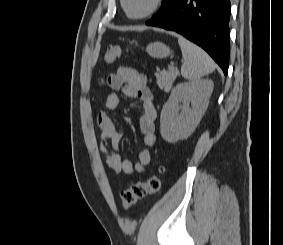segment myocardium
Here are the masks:
<instances>
[{"mask_svg": "<svg viewBox=\"0 0 283 245\" xmlns=\"http://www.w3.org/2000/svg\"><path fill=\"white\" fill-rule=\"evenodd\" d=\"M121 7L127 18L131 20H143L155 14L163 5L164 0H154L153 5L144 13L140 15H131L126 7V0H120Z\"/></svg>", "mask_w": 283, "mask_h": 245, "instance_id": "obj_1", "label": "myocardium"}]
</instances>
